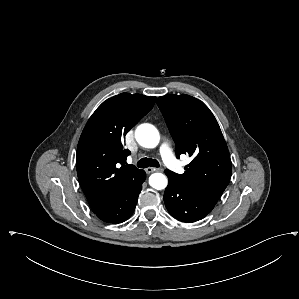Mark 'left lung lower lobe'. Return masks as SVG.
I'll return each mask as SVG.
<instances>
[{"label": "left lung lower lobe", "instance_id": "0a47b994", "mask_svg": "<svg viewBox=\"0 0 299 299\" xmlns=\"http://www.w3.org/2000/svg\"><path fill=\"white\" fill-rule=\"evenodd\" d=\"M169 184L164 193V202L168 212L182 222H195L211 212L215 204L181 185L166 174Z\"/></svg>", "mask_w": 299, "mask_h": 299}]
</instances>
